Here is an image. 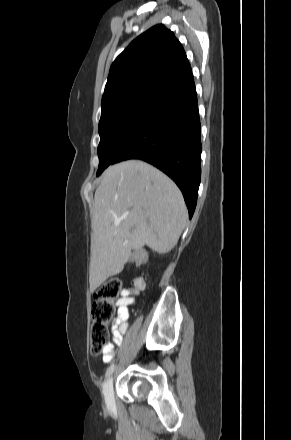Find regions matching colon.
Instances as JSON below:
<instances>
[{"mask_svg":"<svg viewBox=\"0 0 291 440\" xmlns=\"http://www.w3.org/2000/svg\"><path fill=\"white\" fill-rule=\"evenodd\" d=\"M143 283L140 279L132 281L131 289L141 291ZM129 289H123L118 279H110L101 284L94 293V303L90 322V351L93 355L105 352L109 346L108 322L115 312L113 301L123 294H129Z\"/></svg>","mask_w":291,"mask_h":440,"instance_id":"obj_1","label":"colon"}]
</instances>
